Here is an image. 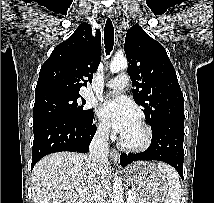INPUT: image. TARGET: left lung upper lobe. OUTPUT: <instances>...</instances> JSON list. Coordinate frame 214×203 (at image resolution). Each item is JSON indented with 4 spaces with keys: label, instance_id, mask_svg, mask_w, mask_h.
Masks as SVG:
<instances>
[{
    "label": "left lung upper lobe",
    "instance_id": "1",
    "mask_svg": "<svg viewBox=\"0 0 214 203\" xmlns=\"http://www.w3.org/2000/svg\"><path fill=\"white\" fill-rule=\"evenodd\" d=\"M124 50L136 87L134 101L143 108L151 129L168 119L184 120L183 94L165 48L135 24L127 31Z\"/></svg>",
    "mask_w": 214,
    "mask_h": 203
}]
</instances>
